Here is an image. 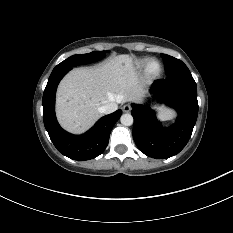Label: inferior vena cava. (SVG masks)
I'll list each match as a JSON object with an SVG mask.
<instances>
[{
	"label": "inferior vena cava",
	"mask_w": 233,
	"mask_h": 233,
	"mask_svg": "<svg viewBox=\"0 0 233 233\" xmlns=\"http://www.w3.org/2000/svg\"><path fill=\"white\" fill-rule=\"evenodd\" d=\"M118 109V105L116 103H108L99 108V112L103 114H110Z\"/></svg>",
	"instance_id": "inferior-vena-cava-1"
}]
</instances>
